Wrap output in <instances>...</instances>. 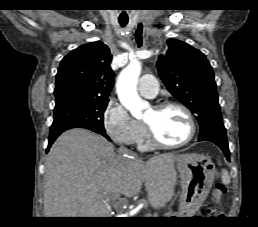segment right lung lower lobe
Masks as SVG:
<instances>
[{"instance_id":"1","label":"right lung lower lobe","mask_w":258,"mask_h":227,"mask_svg":"<svg viewBox=\"0 0 258 227\" xmlns=\"http://www.w3.org/2000/svg\"><path fill=\"white\" fill-rule=\"evenodd\" d=\"M71 128H75V126L66 124V123H53L50 128L49 143H48L47 151L50 149L52 143L62 132ZM100 134L106 137L108 140H110V138L105 133H100Z\"/></svg>"}]
</instances>
